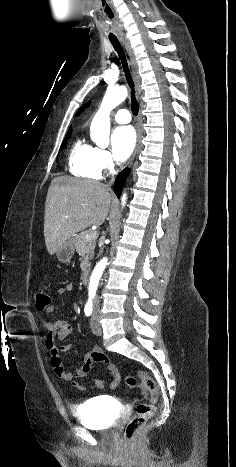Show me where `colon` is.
Here are the masks:
<instances>
[{
  "label": "colon",
  "mask_w": 236,
  "mask_h": 467,
  "mask_svg": "<svg viewBox=\"0 0 236 467\" xmlns=\"http://www.w3.org/2000/svg\"><path fill=\"white\" fill-rule=\"evenodd\" d=\"M36 308L38 311L46 310L51 303L49 292L46 289L39 288L35 291ZM106 355L103 353L93 354V358L97 361H103L106 359ZM140 381L144 391L150 395V403L140 402L135 407V414L133 418L125 425L122 431V439L125 443H131L136 433L145 425L147 420L155 412V402L159 397V390L153 378H151L144 371H136L134 375H127L124 379L125 386L128 389H133L138 385Z\"/></svg>",
  "instance_id": "1"
}]
</instances>
